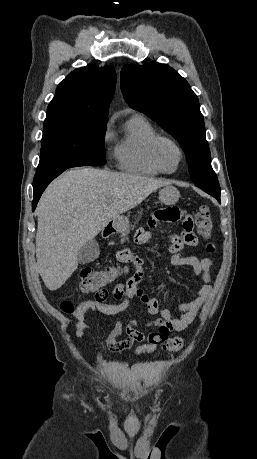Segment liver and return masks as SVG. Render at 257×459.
<instances>
[{
  "mask_svg": "<svg viewBox=\"0 0 257 459\" xmlns=\"http://www.w3.org/2000/svg\"><path fill=\"white\" fill-rule=\"evenodd\" d=\"M166 180L94 168H76L51 183L36 210L38 272L59 289L78 266L80 248L110 222L136 207Z\"/></svg>",
  "mask_w": 257,
  "mask_h": 459,
  "instance_id": "obj_1",
  "label": "liver"
}]
</instances>
